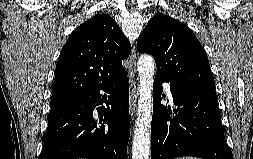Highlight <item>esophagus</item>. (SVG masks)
Instances as JSON below:
<instances>
[{
    "label": "esophagus",
    "mask_w": 253,
    "mask_h": 159,
    "mask_svg": "<svg viewBox=\"0 0 253 159\" xmlns=\"http://www.w3.org/2000/svg\"><path fill=\"white\" fill-rule=\"evenodd\" d=\"M136 63H137L136 50L133 49L129 58V87H130L129 105L131 116L135 114L136 101L138 97Z\"/></svg>",
    "instance_id": "esophagus-1"
}]
</instances>
